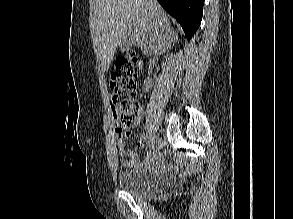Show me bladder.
Segmentation results:
<instances>
[{
	"mask_svg": "<svg viewBox=\"0 0 293 219\" xmlns=\"http://www.w3.org/2000/svg\"><path fill=\"white\" fill-rule=\"evenodd\" d=\"M167 178L146 168H131L118 174L119 187L135 197L158 193L166 188Z\"/></svg>",
	"mask_w": 293,
	"mask_h": 219,
	"instance_id": "obj_1",
	"label": "bladder"
}]
</instances>
